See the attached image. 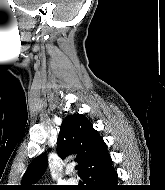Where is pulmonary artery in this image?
Listing matches in <instances>:
<instances>
[{
	"label": "pulmonary artery",
	"instance_id": "obj_1",
	"mask_svg": "<svg viewBox=\"0 0 165 190\" xmlns=\"http://www.w3.org/2000/svg\"><path fill=\"white\" fill-rule=\"evenodd\" d=\"M68 183L69 184H74V183H76V179L71 177V178L68 179Z\"/></svg>",
	"mask_w": 165,
	"mask_h": 190
}]
</instances>
